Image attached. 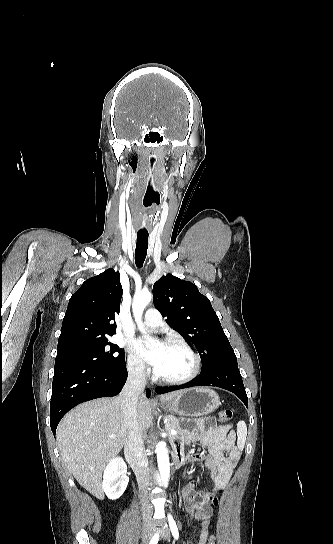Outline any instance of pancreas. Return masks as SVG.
<instances>
[{"label":"pancreas","instance_id":"pancreas-1","mask_svg":"<svg viewBox=\"0 0 333 544\" xmlns=\"http://www.w3.org/2000/svg\"><path fill=\"white\" fill-rule=\"evenodd\" d=\"M166 423H165V429L169 432L170 438H176L180 433L183 432V430L180 427L179 420L175 418L173 415H168L165 417ZM171 430H176L177 434L172 435L170 433Z\"/></svg>","mask_w":333,"mask_h":544}]
</instances>
